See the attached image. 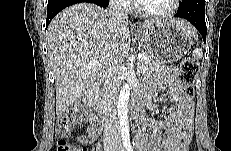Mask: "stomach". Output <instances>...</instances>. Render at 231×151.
<instances>
[{
	"instance_id": "stomach-1",
	"label": "stomach",
	"mask_w": 231,
	"mask_h": 151,
	"mask_svg": "<svg viewBox=\"0 0 231 151\" xmlns=\"http://www.w3.org/2000/svg\"><path fill=\"white\" fill-rule=\"evenodd\" d=\"M134 35L145 47L146 54L161 63L181 59L192 45L190 35L171 21L156 22L150 28L136 30Z\"/></svg>"
}]
</instances>
